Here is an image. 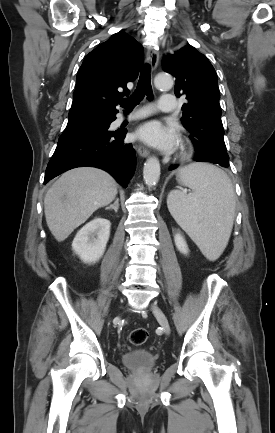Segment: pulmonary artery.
Returning <instances> with one entry per match:
<instances>
[{
	"mask_svg": "<svg viewBox=\"0 0 275 433\" xmlns=\"http://www.w3.org/2000/svg\"><path fill=\"white\" fill-rule=\"evenodd\" d=\"M176 106L175 96L173 94H162L159 100L158 107L161 112L171 113L174 111ZM151 107L147 106L144 109H141L133 114L121 117V120H131L138 117L147 116L150 113Z\"/></svg>",
	"mask_w": 275,
	"mask_h": 433,
	"instance_id": "1",
	"label": "pulmonary artery"
}]
</instances>
